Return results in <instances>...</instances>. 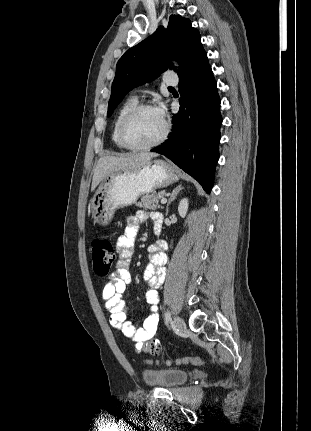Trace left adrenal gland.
<instances>
[{
    "instance_id": "left-adrenal-gland-1",
    "label": "left adrenal gland",
    "mask_w": 311,
    "mask_h": 431,
    "mask_svg": "<svg viewBox=\"0 0 311 431\" xmlns=\"http://www.w3.org/2000/svg\"><path fill=\"white\" fill-rule=\"evenodd\" d=\"M180 190H184V188H182V186H177V188H174L173 192H171V196L168 200V204L166 206V216H168V212H169V206L171 204V202H174V200H176V196H178Z\"/></svg>"
}]
</instances>
